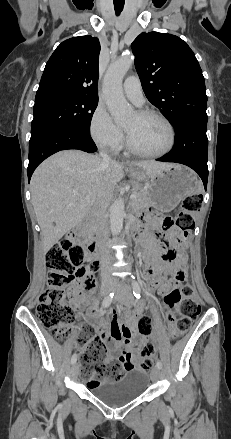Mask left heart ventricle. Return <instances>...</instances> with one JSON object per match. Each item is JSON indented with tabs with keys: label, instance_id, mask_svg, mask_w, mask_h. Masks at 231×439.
<instances>
[{
	"label": "left heart ventricle",
	"instance_id": "1",
	"mask_svg": "<svg viewBox=\"0 0 231 439\" xmlns=\"http://www.w3.org/2000/svg\"><path fill=\"white\" fill-rule=\"evenodd\" d=\"M132 145L146 153L163 150L169 143V130L158 118L133 114L124 124Z\"/></svg>",
	"mask_w": 231,
	"mask_h": 439
}]
</instances>
